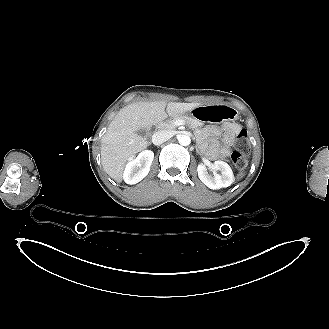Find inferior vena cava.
<instances>
[{
  "label": "inferior vena cava",
  "mask_w": 329,
  "mask_h": 329,
  "mask_svg": "<svg viewBox=\"0 0 329 329\" xmlns=\"http://www.w3.org/2000/svg\"><path fill=\"white\" fill-rule=\"evenodd\" d=\"M171 138V134L168 131L161 130L153 134L152 142L154 145H160L166 142L168 139Z\"/></svg>",
  "instance_id": "obj_1"
}]
</instances>
